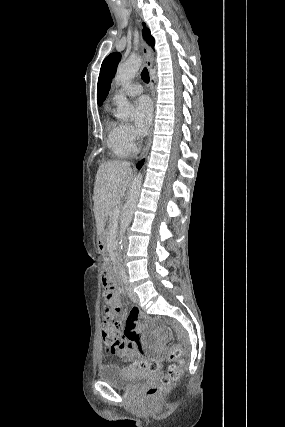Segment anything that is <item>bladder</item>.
<instances>
[{
  "label": "bladder",
  "instance_id": "obj_1",
  "mask_svg": "<svg viewBox=\"0 0 285 427\" xmlns=\"http://www.w3.org/2000/svg\"><path fill=\"white\" fill-rule=\"evenodd\" d=\"M98 379L116 387L129 389L134 383L149 377H156L134 367H120L115 364H105L98 369Z\"/></svg>",
  "mask_w": 285,
  "mask_h": 427
}]
</instances>
